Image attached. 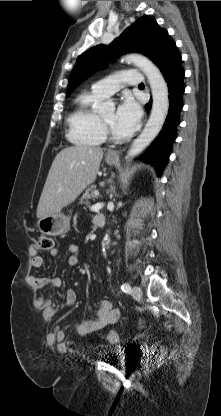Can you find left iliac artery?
<instances>
[{"instance_id":"left-iliac-artery-1","label":"left iliac artery","mask_w":221,"mask_h":416,"mask_svg":"<svg viewBox=\"0 0 221 416\" xmlns=\"http://www.w3.org/2000/svg\"><path fill=\"white\" fill-rule=\"evenodd\" d=\"M121 289L125 293H129L131 291V287L128 283L122 284Z\"/></svg>"}]
</instances>
